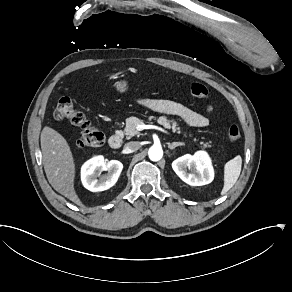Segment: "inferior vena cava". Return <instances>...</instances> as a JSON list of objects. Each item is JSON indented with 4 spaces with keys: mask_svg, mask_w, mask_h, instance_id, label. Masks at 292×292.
<instances>
[{
    "mask_svg": "<svg viewBox=\"0 0 292 292\" xmlns=\"http://www.w3.org/2000/svg\"><path fill=\"white\" fill-rule=\"evenodd\" d=\"M139 148H140V143L138 141L128 142L124 147V149L127 153L135 152V151L139 150Z\"/></svg>",
    "mask_w": 292,
    "mask_h": 292,
    "instance_id": "inferior-vena-cava-1",
    "label": "inferior vena cava"
}]
</instances>
